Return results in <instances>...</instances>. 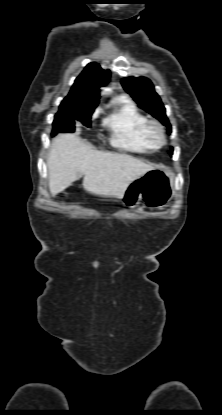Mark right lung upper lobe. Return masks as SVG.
<instances>
[{
	"mask_svg": "<svg viewBox=\"0 0 222 415\" xmlns=\"http://www.w3.org/2000/svg\"><path fill=\"white\" fill-rule=\"evenodd\" d=\"M110 71L99 64H88L76 78L68 96L60 104V109L76 106L96 107L99 103V88L109 82Z\"/></svg>",
	"mask_w": 222,
	"mask_h": 415,
	"instance_id": "cb5924a9",
	"label": "right lung upper lobe"
}]
</instances>
